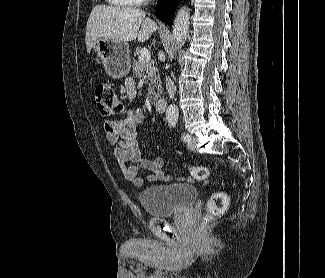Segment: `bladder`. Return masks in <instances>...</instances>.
Returning <instances> with one entry per match:
<instances>
[{
	"instance_id": "obj_1",
	"label": "bladder",
	"mask_w": 325,
	"mask_h": 278,
	"mask_svg": "<svg viewBox=\"0 0 325 278\" xmlns=\"http://www.w3.org/2000/svg\"><path fill=\"white\" fill-rule=\"evenodd\" d=\"M197 198V188L187 183L152 185L139 194L142 207L151 217L181 213L191 207Z\"/></svg>"
}]
</instances>
